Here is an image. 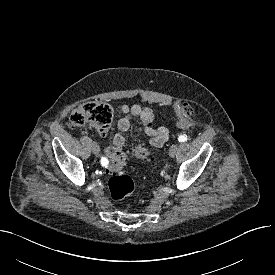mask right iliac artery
<instances>
[{"mask_svg":"<svg viewBox=\"0 0 275 275\" xmlns=\"http://www.w3.org/2000/svg\"><path fill=\"white\" fill-rule=\"evenodd\" d=\"M108 160H107V158H105V157H102L101 158V164H102V166H107L108 165Z\"/></svg>","mask_w":275,"mask_h":275,"instance_id":"right-iliac-artery-1","label":"right iliac artery"}]
</instances>
